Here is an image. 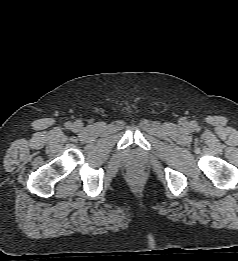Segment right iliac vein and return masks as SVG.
Masks as SVG:
<instances>
[{
    "label": "right iliac vein",
    "mask_w": 238,
    "mask_h": 261,
    "mask_svg": "<svg viewBox=\"0 0 238 261\" xmlns=\"http://www.w3.org/2000/svg\"><path fill=\"white\" fill-rule=\"evenodd\" d=\"M81 128H82V124H81L80 122H75V123L73 124V129H74L75 131H79Z\"/></svg>",
    "instance_id": "1"
}]
</instances>
